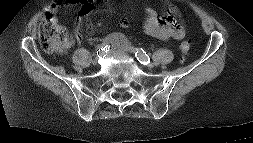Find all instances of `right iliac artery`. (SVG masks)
I'll return each instance as SVG.
<instances>
[{
    "mask_svg": "<svg viewBox=\"0 0 253 143\" xmlns=\"http://www.w3.org/2000/svg\"><path fill=\"white\" fill-rule=\"evenodd\" d=\"M108 49H109L108 45H102V46L99 47V50L97 51V54H98V52L99 53H104V52L108 51Z\"/></svg>",
    "mask_w": 253,
    "mask_h": 143,
    "instance_id": "obj_1",
    "label": "right iliac artery"
}]
</instances>
